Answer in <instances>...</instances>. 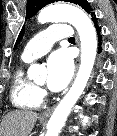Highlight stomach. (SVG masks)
<instances>
[{
  "label": "stomach",
  "instance_id": "0dacf381",
  "mask_svg": "<svg viewBox=\"0 0 117 136\" xmlns=\"http://www.w3.org/2000/svg\"><path fill=\"white\" fill-rule=\"evenodd\" d=\"M40 122H43V119H40Z\"/></svg>",
  "mask_w": 117,
  "mask_h": 136
}]
</instances>
